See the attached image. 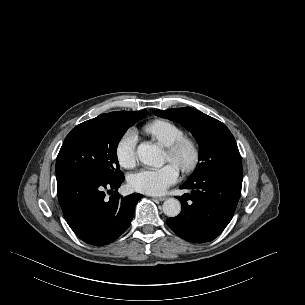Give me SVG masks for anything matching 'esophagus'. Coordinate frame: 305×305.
Here are the masks:
<instances>
[{
  "label": "esophagus",
  "instance_id": "1",
  "mask_svg": "<svg viewBox=\"0 0 305 305\" xmlns=\"http://www.w3.org/2000/svg\"><path fill=\"white\" fill-rule=\"evenodd\" d=\"M154 199L158 200V201H164L167 199L166 196H162V197H154Z\"/></svg>",
  "mask_w": 305,
  "mask_h": 305
}]
</instances>
